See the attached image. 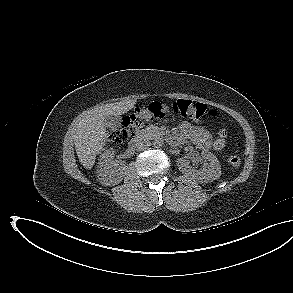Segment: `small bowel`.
<instances>
[{
  "instance_id": "c3829d8e",
  "label": "small bowel",
  "mask_w": 293,
  "mask_h": 293,
  "mask_svg": "<svg viewBox=\"0 0 293 293\" xmlns=\"http://www.w3.org/2000/svg\"><path fill=\"white\" fill-rule=\"evenodd\" d=\"M180 131L181 133L175 138L177 141L188 138L202 150H208L213 146L210 133L201 126L185 121L181 124Z\"/></svg>"
}]
</instances>
